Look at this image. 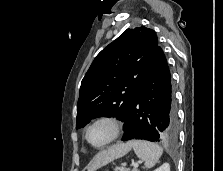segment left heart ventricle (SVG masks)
<instances>
[{
	"instance_id": "b2bd125f",
	"label": "left heart ventricle",
	"mask_w": 223,
	"mask_h": 171,
	"mask_svg": "<svg viewBox=\"0 0 223 171\" xmlns=\"http://www.w3.org/2000/svg\"><path fill=\"white\" fill-rule=\"evenodd\" d=\"M112 127L108 123H99L89 131V140L95 145H101L112 135Z\"/></svg>"
}]
</instances>
